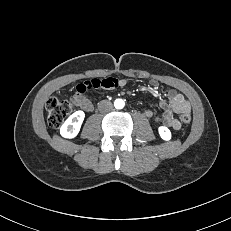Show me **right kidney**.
Returning a JSON list of instances; mask_svg holds the SVG:
<instances>
[{"mask_svg":"<svg viewBox=\"0 0 231 231\" xmlns=\"http://www.w3.org/2000/svg\"><path fill=\"white\" fill-rule=\"evenodd\" d=\"M85 114L79 110L74 112L68 119L63 123L60 128V134L64 138H74L80 131V127L84 120Z\"/></svg>","mask_w":231,"mask_h":231,"instance_id":"ca27d5eb","label":"right kidney"}]
</instances>
